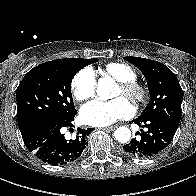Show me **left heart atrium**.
<instances>
[{
  "label": "left heart atrium",
  "mask_w": 196,
  "mask_h": 196,
  "mask_svg": "<svg viewBox=\"0 0 196 196\" xmlns=\"http://www.w3.org/2000/svg\"><path fill=\"white\" fill-rule=\"evenodd\" d=\"M134 112L132 105L123 97L110 101L94 100L80 110L81 120L92 126H107L119 119L128 118Z\"/></svg>",
  "instance_id": "left-heart-atrium-1"
}]
</instances>
